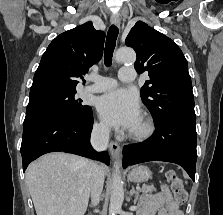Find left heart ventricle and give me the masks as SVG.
<instances>
[{"mask_svg":"<svg viewBox=\"0 0 223 215\" xmlns=\"http://www.w3.org/2000/svg\"><path fill=\"white\" fill-rule=\"evenodd\" d=\"M139 120L135 123V125L132 128H138L139 127Z\"/></svg>","mask_w":223,"mask_h":215,"instance_id":"obj_1","label":"left heart ventricle"}]
</instances>
